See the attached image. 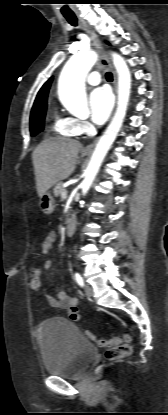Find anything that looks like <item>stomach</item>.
<instances>
[{
    "instance_id": "1",
    "label": "stomach",
    "mask_w": 168,
    "mask_h": 415,
    "mask_svg": "<svg viewBox=\"0 0 168 415\" xmlns=\"http://www.w3.org/2000/svg\"><path fill=\"white\" fill-rule=\"evenodd\" d=\"M87 153H84L86 155ZM41 211L49 215L54 211L55 208V201L54 198L51 196L50 193H45L43 196L40 197L39 201Z\"/></svg>"
}]
</instances>
